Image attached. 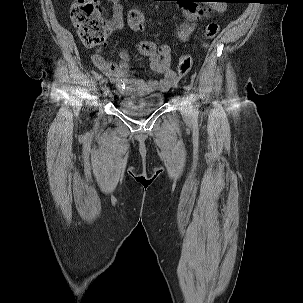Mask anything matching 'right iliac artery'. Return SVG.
I'll list each match as a JSON object with an SVG mask.
<instances>
[{"label":"right iliac artery","mask_w":303,"mask_h":303,"mask_svg":"<svg viewBox=\"0 0 303 303\" xmlns=\"http://www.w3.org/2000/svg\"><path fill=\"white\" fill-rule=\"evenodd\" d=\"M96 79L99 81V86L103 88L107 84V79L103 78L101 75H98Z\"/></svg>","instance_id":"obj_1"}]
</instances>
